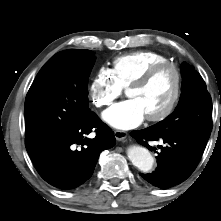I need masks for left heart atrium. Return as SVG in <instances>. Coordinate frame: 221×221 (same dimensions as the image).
Returning <instances> with one entry per match:
<instances>
[{
  "label": "left heart atrium",
  "instance_id": "39dd6f15",
  "mask_svg": "<svg viewBox=\"0 0 221 221\" xmlns=\"http://www.w3.org/2000/svg\"><path fill=\"white\" fill-rule=\"evenodd\" d=\"M145 117V112L136 99H128L115 104L103 113V119L109 125L122 130L139 126Z\"/></svg>",
  "mask_w": 221,
  "mask_h": 221
}]
</instances>
